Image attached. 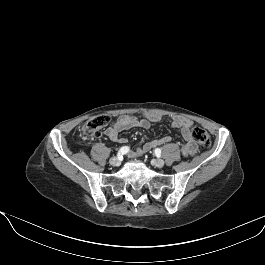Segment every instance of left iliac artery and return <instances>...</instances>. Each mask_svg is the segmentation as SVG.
<instances>
[{
    "instance_id": "1",
    "label": "left iliac artery",
    "mask_w": 265,
    "mask_h": 265,
    "mask_svg": "<svg viewBox=\"0 0 265 265\" xmlns=\"http://www.w3.org/2000/svg\"><path fill=\"white\" fill-rule=\"evenodd\" d=\"M155 154L157 156H160L161 155V149H159V148L155 149Z\"/></svg>"
}]
</instances>
